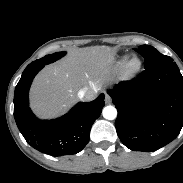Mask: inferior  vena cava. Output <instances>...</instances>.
<instances>
[{"label": "inferior vena cava", "instance_id": "1", "mask_svg": "<svg viewBox=\"0 0 183 183\" xmlns=\"http://www.w3.org/2000/svg\"><path fill=\"white\" fill-rule=\"evenodd\" d=\"M98 90L96 88H84L78 92V96L85 101H91L97 96Z\"/></svg>", "mask_w": 183, "mask_h": 183}]
</instances>
